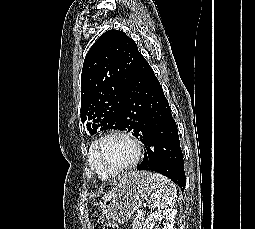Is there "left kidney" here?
<instances>
[{"mask_svg":"<svg viewBox=\"0 0 255 229\" xmlns=\"http://www.w3.org/2000/svg\"><path fill=\"white\" fill-rule=\"evenodd\" d=\"M176 213L177 210L175 208L155 211L147 217L143 229H153L157 221L162 219H165L162 229H173Z\"/></svg>","mask_w":255,"mask_h":229,"instance_id":"1","label":"left kidney"}]
</instances>
